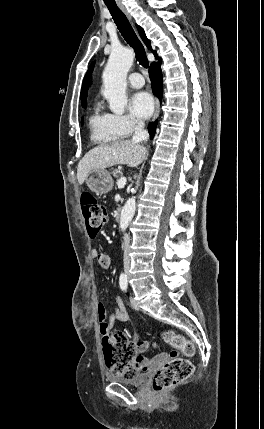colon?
<instances>
[{
  "instance_id": "1",
  "label": "colon",
  "mask_w": 264,
  "mask_h": 429,
  "mask_svg": "<svg viewBox=\"0 0 264 429\" xmlns=\"http://www.w3.org/2000/svg\"><path fill=\"white\" fill-rule=\"evenodd\" d=\"M81 208L85 223L91 237H95L107 222V210L95 196L89 192L81 194ZM100 328L105 332L103 340L104 361L108 369L124 377H131L139 371L134 364L135 348L127 336L122 332H107L106 311L103 305L97 309ZM164 340L172 347L180 350L185 356H193L194 345L183 336L173 331H166ZM193 372V365L188 359L177 357L172 352L165 362L155 373L153 378V389L162 392L175 387L188 379Z\"/></svg>"
}]
</instances>
